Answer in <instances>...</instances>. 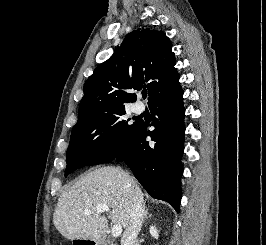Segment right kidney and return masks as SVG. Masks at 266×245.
I'll return each mask as SVG.
<instances>
[{"mask_svg": "<svg viewBox=\"0 0 266 245\" xmlns=\"http://www.w3.org/2000/svg\"><path fill=\"white\" fill-rule=\"evenodd\" d=\"M149 233L152 235V237H154V239H158L159 235L156 227H150Z\"/></svg>", "mask_w": 266, "mask_h": 245, "instance_id": "1", "label": "right kidney"}]
</instances>
